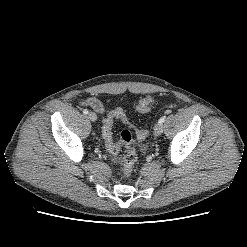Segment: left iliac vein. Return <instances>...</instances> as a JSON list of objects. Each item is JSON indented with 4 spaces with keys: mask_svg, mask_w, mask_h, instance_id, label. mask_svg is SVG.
<instances>
[{
    "mask_svg": "<svg viewBox=\"0 0 247 247\" xmlns=\"http://www.w3.org/2000/svg\"><path fill=\"white\" fill-rule=\"evenodd\" d=\"M162 132H163V126H162V123H157L156 125H155V127H154V133H155V135H161L162 134Z\"/></svg>",
    "mask_w": 247,
    "mask_h": 247,
    "instance_id": "4c4485c4",
    "label": "left iliac vein"
}]
</instances>
